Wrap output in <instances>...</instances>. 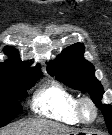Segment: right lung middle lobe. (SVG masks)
<instances>
[{"label": "right lung middle lobe", "instance_id": "right-lung-middle-lobe-1", "mask_svg": "<svg viewBox=\"0 0 112 135\" xmlns=\"http://www.w3.org/2000/svg\"><path fill=\"white\" fill-rule=\"evenodd\" d=\"M38 78L27 79L12 75L0 79V127L8 124L21 110L18 100L26 97Z\"/></svg>", "mask_w": 112, "mask_h": 135}]
</instances>
